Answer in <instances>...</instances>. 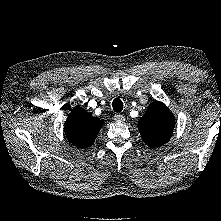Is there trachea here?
Here are the masks:
<instances>
[{"label":"trachea","instance_id":"3493384b","mask_svg":"<svg viewBox=\"0 0 221 221\" xmlns=\"http://www.w3.org/2000/svg\"><path fill=\"white\" fill-rule=\"evenodd\" d=\"M112 107L115 112H121L123 110V102L116 98L113 100Z\"/></svg>","mask_w":221,"mask_h":221}]
</instances>
